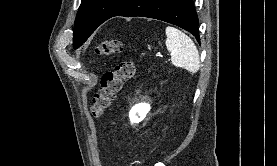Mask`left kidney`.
<instances>
[{
  "instance_id": "1",
  "label": "left kidney",
  "mask_w": 277,
  "mask_h": 166,
  "mask_svg": "<svg viewBox=\"0 0 277 166\" xmlns=\"http://www.w3.org/2000/svg\"><path fill=\"white\" fill-rule=\"evenodd\" d=\"M150 111V105L147 103H138L134 105L129 112V119L131 123L141 122Z\"/></svg>"
}]
</instances>
